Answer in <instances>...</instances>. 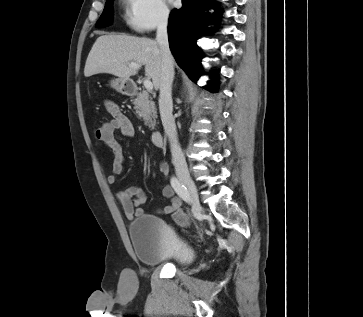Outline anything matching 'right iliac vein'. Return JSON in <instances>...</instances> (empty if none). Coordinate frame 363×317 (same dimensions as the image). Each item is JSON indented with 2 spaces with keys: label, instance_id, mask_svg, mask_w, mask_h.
<instances>
[{
  "label": "right iliac vein",
  "instance_id": "right-iliac-vein-1",
  "mask_svg": "<svg viewBox=\"0 0 363 317\" xmlns=\"http://www.w3.org/2000/svg\"><path fill=\"white\" fill-rule=\"evenodd\" d=\"M179 180L187 186V188L191 194L193 211L194 212L200 211L201 205L199 202L197 187H196L194 181L191 179V177L188 174H180Z\"/></svg>",
  "mask_w": 363,
  "mask_h": 317
}]
</instances>
